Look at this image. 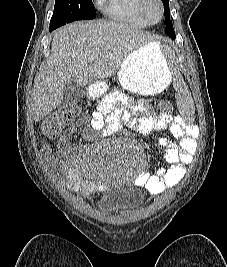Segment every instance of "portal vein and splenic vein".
<instances>
[{
	"label": "portal vein and splenic vein",
	"instance_id": "obj_1",
	"mask_svg": "<svg viewBox=\"0 0 227 267\" xmlns=\"http://www.w3.org/2000/svg\"><path fill=\"white\" fill-rule=\"evenodd\" d=\"M92 61L94 60V57L90 58Z\"/></svg>",
	"mask_w": 227,
	"mask_h": 267
}]
</instances>
